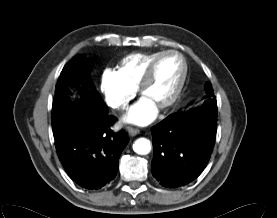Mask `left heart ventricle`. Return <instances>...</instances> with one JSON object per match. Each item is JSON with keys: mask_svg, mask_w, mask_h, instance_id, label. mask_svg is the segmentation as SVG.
<instances>
[{"mask_svg": "<svg viewBox=\"0 0 277 218\" xmlns=\"http://www.w3.org/2000/svg\"><path fill=\"white\" fill-rule=\"evenodd\" d=\"M182 62L175 55L162 58L156 66L155 74L143 92L157 107L168 101L178 85L182 74Z\"/></svg>", "mask_w": 277, "mask_h": 218, "instance_id": "1", "label": "left heart ventricle"}]
</instances>
